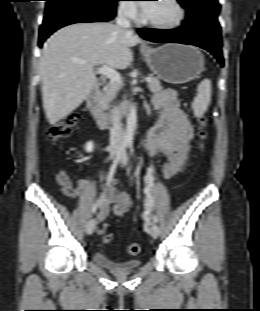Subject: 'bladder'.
Returning <instances> with one entry per match:
<instances>
[{
  "mask_svg": "<svg viewBox=\"0 0 260 311\" xmlns=\"http://www.w3.org/2000/svg\"><path fill=\"white\" fill-rule=\"evenodd\" d=\"M93 261L99 266L112 272H124L136 270L140 267L141 259H129L121 262L113 261L103 250L97 249L92 254Z\"/></svg>",
  "mask_w": 260,
  "mask_h": 311,
  "instance_id": "bladder-1",
  "label": "bladder"
}]
</instances>
